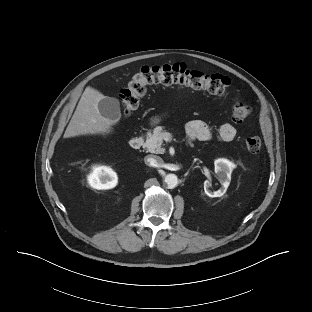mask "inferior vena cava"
<instances>
[{"instance_id": "602c4592", "label": "inferior vena cava", "mask_w": 312, "mask_h": 312, "mask_svg": "<svg viewBox=\"0 0 312 312\" xmlns=\"http://www.w3.org/2000/svg\"><path fill=\"white\" fill-rule=\"evenodd\" d=\"M145 164L151 167H160L163 164V159L156 155H148L144 159Z\"/></svg>"}]
</instances>
